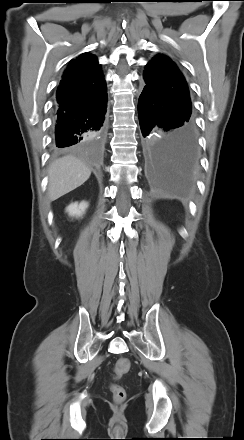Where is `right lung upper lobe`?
Masks as SVG:
<instances>
[{
	"instance_id": "cb5924a9",
	"label": "right lung upper lobe",
	"mask_w": 244,
	"mask_h": 440,
	"mask_svg": "<svg viewBox=\"0 0 244 440\" xmlns=\"http://www.w3.org/2000/svg\"><path fill=\"white\" fill-rule=\"evenodd\" d=\"M106 92V83L97 58L89 53L71 61L57 89L56 106L82 105Z\"/></svg>"
}]
</instances>
